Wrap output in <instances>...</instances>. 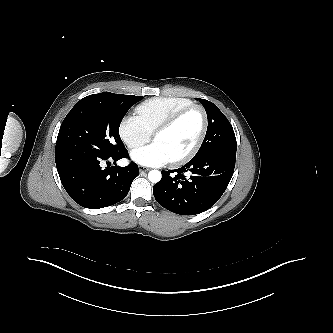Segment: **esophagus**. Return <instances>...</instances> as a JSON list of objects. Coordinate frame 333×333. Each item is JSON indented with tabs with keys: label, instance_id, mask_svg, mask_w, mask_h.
Returning a JSON list of instances; mask_svg holds the SVG:
<instances>
[{
	"label": "esophagus",
	"instance_id": "esophagus-1",
	"mask_svg": "<svg viewBox=\"0 0 333 333\" xmlns=\"http://www.w3.org/2000/svg\"><path fill=\"white\" fill-rule=\"evenodd\" d=\"M149 171V168H146L144 166H139V172L140 173H143V172H148Z\"/></svg>",
	"mask_w": 333,
	"mask_h": 333
}]
</instances>
